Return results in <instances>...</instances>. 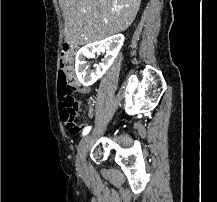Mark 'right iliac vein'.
Returning a JSON list of instances; mask_svg holds the SVG:
<instances>
[{"label": "right iliac vein", "mask_w": 217, "mask_h": 202, "mask_svg": "<svg viewBox=\"0 0 217 202\" xmlns=\"http://www.w3.org/2000/svg\"><path fill=\"white\" fill-rule=\"evenodd\" d=\"M89 140L90 135H86L79 143L77 151V165L79 169H83L85 166V157L88 149Z\"/></svg>", "instance_id": "right-iliac-vein-1"}]
</instances>
